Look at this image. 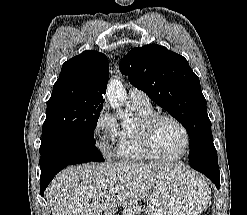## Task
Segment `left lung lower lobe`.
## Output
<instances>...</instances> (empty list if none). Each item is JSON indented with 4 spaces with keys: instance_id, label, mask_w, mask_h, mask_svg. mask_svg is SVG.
I'll use <instances>...</instances> for the list:
<instances>
[{
    "instance_id": "0a47b994",
    "label": "left lung lower lobe",
    "mask_w": 247,
    "mask_h": 215,
    "mask_svg": "<svg viewBox=\"0 0 247 215\" xmlns=\"http://www.w3.org/2000/svg\"><path fill=\"white\" fill-rule=\"evenodd\" d=\"M190 166L206 175L219 189L220 173L214 144L205 142L190 151Z\"/></svg>"
}]
</instances>
